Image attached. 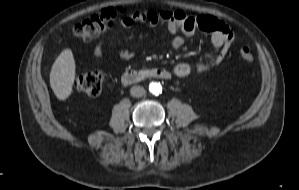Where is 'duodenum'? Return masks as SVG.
<instances>
[{"label":"duodenum","instance_id":"1","mask_svg":"<svg viewBox=\"0 0 299 190\" xmlns=\"http://www.w3.org/2000/svg\"><path fill=\"white\" fill-rule=\"evenodd\" d=\"M146 78L169 79L170 73L164 68L133 69L122 75V82L126 85H131Z\"/></svg>","mask_w":299,"mask_h":190}]
</instances>
